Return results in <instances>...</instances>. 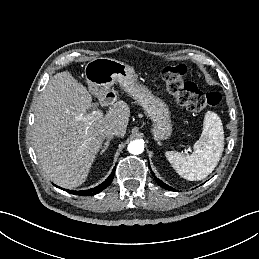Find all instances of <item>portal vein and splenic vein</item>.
Listing matches in <instances>:
<instances>
[{
	"label": "portal vein and splenic vein",
	"mask_w": 259,
	"mask_h": 259,
	"mask_svg": "<svg viewBox=\"0 0 259 259\" xmlns=\"http://www.w3.org/2000/svg\"><path fill=\"white\" fill-rule=\"evenodd\" d=\"M102 116V112L101 111H94L91 114L88 115H84V116H80L79 120L90 124L91 121L95 120L98 117Z\"/></svg>",
	"instance_id": "18ae733b"
}]
</instances>
